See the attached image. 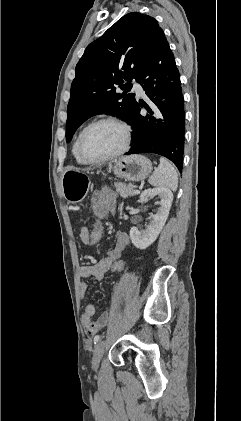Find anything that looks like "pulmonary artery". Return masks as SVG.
Instances as JSON below:
<instances>
[{"instance_id":"obj_1","label":"pulmonary artery","mask_w":241,"mask_h":421,"mask_svg":"<svg viewBox=\"0 0 241 421\" xmlns=\"http://www.w3.org/2000/svg\"><path fill=\"white\" fill-rule=\"evenodd\" d=\"M133 90L136 92L137 95L142 96L144 94L142 86L136 81L133 82Z\"/></svg>"}]
</instances>
